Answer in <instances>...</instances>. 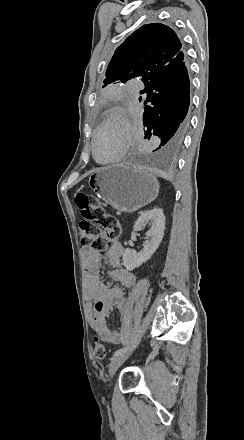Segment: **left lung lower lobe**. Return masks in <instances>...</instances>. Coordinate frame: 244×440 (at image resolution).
<instances>
[{
    "mask_svg": "<svg viewBox=\"0 0 244 440\" xmlns=\"http://www.w3.org/2000/svg\"><path fill=\"white\" fill-rule=\"evenodd\" d=\"M140 94L144 104H148L143 109L144 138L152 134L160 137V145L153 152H174L182 145L190 127V81L184 59L161 69Z\"/></svg>",
    "mask_w": 244,
    "mask_h": 440,
    "instance_id": "1",
    "label": "left lung lower lobe"
}]
</instances>
